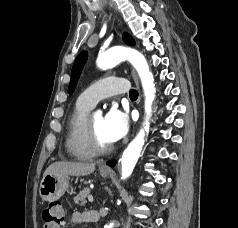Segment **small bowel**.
<instances>
[{
	"mask_svg": "<svg viewBox=\"0 0 238 228\" xmlns=\"http://www.w3.org/2000/svg\"><path fill=\"white\" fill-rule=\"evenodd\" d=\"M71 221L73 224L80 225L88 220L85 216V213L76 212L72 215ZM43 228H62V226L61 224H46L43 226Z\"/></svg>",
	"mask_w": 238,
	"mask_h": 228,
	"instance_id": "c3829d8e",
	"label": "small bowel"
}]
</instances>
